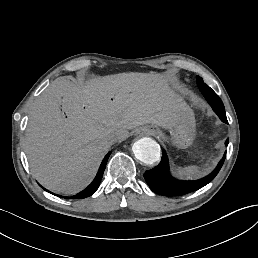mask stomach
Returning <instances> with one entry per match:
<instances>
[{"label": "stomach", "instance_id": "obj_1", "mask_svg": "<svg viewBox=\"0 0 258 258\" xmlns=\"http://www.w3.org/2000/svg\"><path fill=\"white\" fill-rule=\"evenodd\" d=\"M138 130H143L150 135L158 136L163 141L170 140L179 149H186L195 139V117L190 106L182 100L177 115V124L170 129V137L166 136L157 126L146 125Z\"/></svg>", "mask_w": 258, "mask_h": 258}]
</instances>
